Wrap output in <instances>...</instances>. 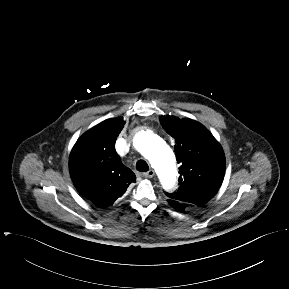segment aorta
<instances>
[{"instance_id": "762f6f07", "label": "aorta", "mask_w": 289, "mask_h": 289, "mask_svg": "<svg viewBox=\"0 0 289 289\" xmlns=\"http://www.w3.org/2000/svg\"><path fill=\"white\" fill-rule=\"evenodd\" d=\"M136 149L149 160L159 174L165 189H170L176 180V159L171 148L151 131H141L134 138Z\"/></svg>"}]
</instances>
